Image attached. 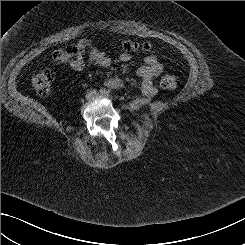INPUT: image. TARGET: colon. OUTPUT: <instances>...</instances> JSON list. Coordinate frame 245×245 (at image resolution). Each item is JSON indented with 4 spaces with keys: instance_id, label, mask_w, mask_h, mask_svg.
Returning <instances> with one entry per match:
<instances>
[{
    "instance_id": "5ec220e1",
    "label": "colon",
    "mask_w": 245,
    "mask_h": 245,
    "mask_svg": "<svg viewBox=\"0 0 245 245\" xmlns=\"http://www.w3.org/2000/svg\"><path fill=\"white\" fill-rule=\"evenodd\" d=\"M122 50L133 53L137 51L148 52L152 45L149 42L138 43L131 40H125L121 44ZM75 49L73 46L67 47L65 50H57L53 54V58H58L62 54L73 55ZM54 80V74L49 69H42L30 76L29 82L32 89L40 96H47L50 92L51 83ZM161 88L165 90H173L177 87V79L172 74H166L160 81Z\"/></svg>"
}]
</instances>
